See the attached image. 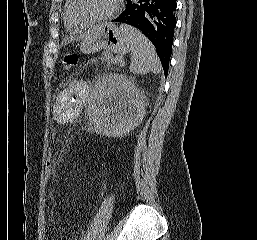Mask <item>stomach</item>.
<instances>
[{
  "mask_svg": "<svg viewBox=\"0 0 257 240\" xmlns=\"http://www.w3.org/2000/svg\"><path fill=\"white\" fill-rule=\"evenodd\" d=\"M83 54H93L100 49H108L119 55L128 52L127 32L113 23H103L91 29L79 45Z\"/></svg>",
  "mask_w": 257,
  "mask_h": 240,
  "instance_id": "0dacf381",
  "label": "stomach"
}]
</instances>
